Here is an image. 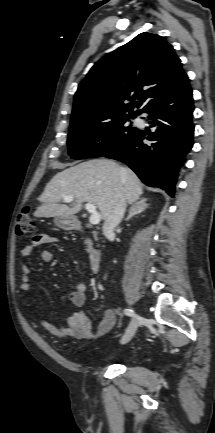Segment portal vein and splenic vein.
Listing matches in <instances>:
<instances>
[{"instance_id":"obj_1","label":"portal vein and splenic vein","mask_w":215,"mask_h":433,"mask_svg":"<svg viewBox=\"0 0 215 433\" xmlns=\"http://www.w3.org/2000/svg\"><path fill=\"white\" fill-rule=\"evenodd\" d=\"M74 200V196L69 195V196H65L63 201L65 203H71ZM85 209L91 214L90 218H89V222L92 225H97L99 224L100 220H101V216L100 214L97 212L96 210V206L91 204V203H86L85 204Z\"/></svg>"}]
</instances>
